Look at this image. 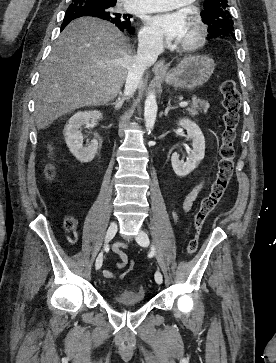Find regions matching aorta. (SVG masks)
Listing matches in <instances>:
<instances>
[{
	"instance_id": "762f6f07",
	"label": "aorta",
	"mask_w": 276,
	"mask_h": 363,
	"mask_svg": "<svg viewBox=\"0 0 276 363\" xmlns=\"http://www.w3.org/2000/svg\"><path fill=\"white\" fill-rule=\"evenodd\" d=\"M157 102L156 96L154 92L149 93L145 100V107H144V119H145V126L148 132H150L155 124L156 116H157Z\"/></svg>"
}]
</instances>
